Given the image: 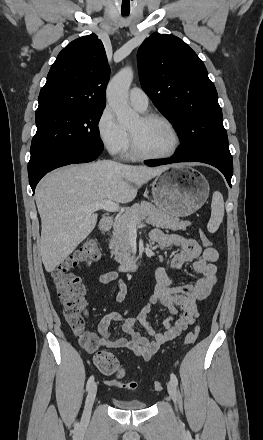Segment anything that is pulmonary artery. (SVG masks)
Returning <instances> with one entry per match:
<instances>
[{"label":"pulmonary artery","mask_w":263,"mask_h":440,"mask_svg":"<svg viewBox=\"0 0 263 440\" xmlns=\"http://www.w3.org/2000/svg\"><path fill=\"white\" fill-rule=\"evenodd\" d=\"M129 102L138 111H145L148 107V96L140 88L134 87L129 92Z\"/></svg>","instance_id":"1"}]
</instances>
